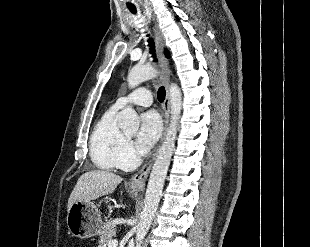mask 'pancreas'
<instances>
[{
	"mask_svg": "<svg viewBox=\"0 0 310 247\" xmlns=\"http://www.w3.org/2000/svg\"><path fill=\"white\" fill-rule=\"evenodd\" d=\"M115 234L116 226L113 220L106 221L102 231L100 232L99 247H106Z\"/></svg>",
	"mask_w": 310,
	"mask_h": 247,
	"instance_id": "1",
	"label": "pancreas"
}]
</instances>
